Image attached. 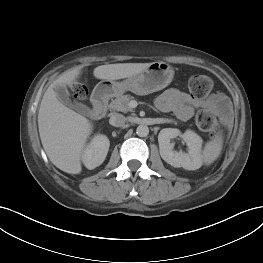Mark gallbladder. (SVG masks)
Returning <instances> with one entry per match:
<instances>
[{
	"instance_id": "bac80fb5",
	"label": "gallbladder",
	"mask_w": 263,
	"mask_h": 263,
	"mask_svg": "<svg viewBox=\"0 0 263 263\" xmlns=\"http://www.w3.org/2000/svg\"><path fill=\"white\" fill-rule=\"evenodd\" d=\"M54 91L59 101L62 102L63 104L68 105L69 107L75 109L77 112L84 115L89 112V108L83 105L82 103L71 101L70 94L65 86L55 87Z\"/></svg>"
}]
</instances>
